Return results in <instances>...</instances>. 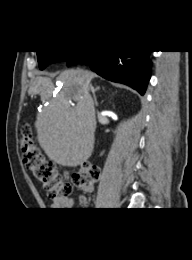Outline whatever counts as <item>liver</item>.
Segmentation results:
<instances>
[{"label": "liver", "mask_w": 192, "mask_h": 260, "mask_svg": "<svg viewBox=\"0 0 192 260\" xmlns=\"http://www.w3.org/2000/svg\"><path fill=\"white\" fill-rule=\"evenodd\" d=\"M96 74L67 69L56 78L61 90L52 97L54 84L49 77L37 76L29 93L40 94L48 105L38 113L35 122L37 139L48 158L61 166L76 167L93 153L96 118L89 84ZM76 106H70V100Z\"/></svg>", "instance_id": "liver-1"}]
</instances>
